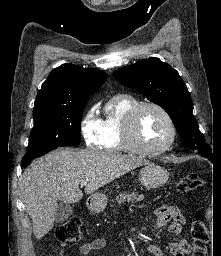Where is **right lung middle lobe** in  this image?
Here are the masks:
<instances>
[{"label": "right lung middle lobe", "instance_id": "obj_1", "mask_svg": "<svg viewBox=\"0 0 221 256\" xmlns=\"http://www.w3.org/2000/svg\"><path fill=\"white\" fill-rule=\"evenodd\" d=\"M88 99L76 106L33 111L34 128L27 152L22 159L26 167L33 158L65 145H79L80 120Z\"/></svg>", "mask_w": 221, "mask_h": 256}]
</instances>
